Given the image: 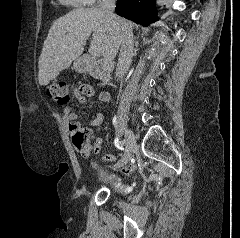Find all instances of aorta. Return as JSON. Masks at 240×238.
I'll return each mask as SVG.
<instances>
[{
    "mask_svg": "<svg viewBox=\"0 0 240 238\" xmlns=\"http://www.w3.org/2000/svg\"><path fill=\"white\" fill-rule=\"evenodd\" d=\"M164 0H159V3L163 2Z\"/></svg>",
    "mask_w": 240,
    "mask_h": 238,
    "instance_id": "aorta-1",
    "label": "aorta"
}]
</instances>
